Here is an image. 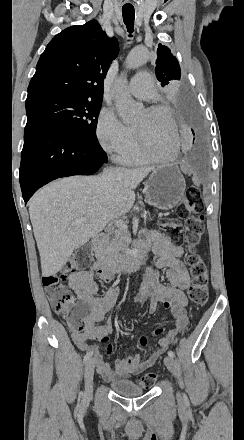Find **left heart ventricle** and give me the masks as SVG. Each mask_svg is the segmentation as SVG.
I'll list each match as a JSON object with an SVG mask.
<instances>
[{"mask_svg":"<svg viewBox=\"0 0 244 440\" xmlns=\"http://www.w3.org/2000/svg\"><path fill=\"white\" fill-rule=\"evenodd\" d=\"M168 111L151 110L139 115L134 127L144 132V141L147 146L162 145L164 155L170 151V132Z\"/></svg>","mask_w":244,"mask_h":440,"instance_id":"b2bd125f","label":"left heart ventricle"}]
</instances>
